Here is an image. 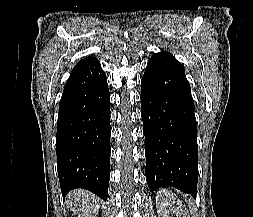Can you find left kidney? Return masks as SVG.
Masks as SVG:
<instances>
[{
    "instance_id": "1",
    "label": "left kidney",
    "mask_w": 253,
    "mask_h": 217,
    "mask_svg": "<svg viewBox=\"0 0 253 217\" xmlns=\"http://www.w3.org/2000/svg\"><path fill=\"white\" fill-rule=\"evenodd\" d=\"M156 201L159 208L158 212L162 217H189L187 215V208L168 190H160L157 194Z\"/></svg>"
}]
</instances>
